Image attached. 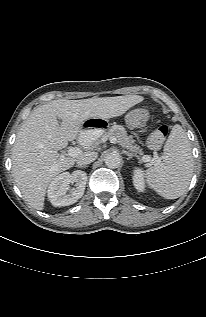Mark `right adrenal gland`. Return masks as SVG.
Returning <instances> with one entry per match:
<instances>
[{
  "label": "right adrenal gland",
  "mask_w": 206,
  "mask_h": 317,
  "mask_svg": "<svg viewBox=\"0 0 206 317\" xmlns=\"http://www.w3.org/2000/svg\"><path fill=\"white\" fill-rule=\"evenodd\" d=\"M76 167H78V168H86V167H88V166H79V165H76Z\"/></svg>",
  "instance_id": "1"
}]
</instances>
